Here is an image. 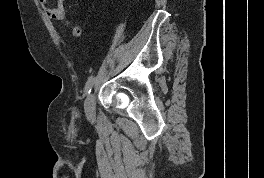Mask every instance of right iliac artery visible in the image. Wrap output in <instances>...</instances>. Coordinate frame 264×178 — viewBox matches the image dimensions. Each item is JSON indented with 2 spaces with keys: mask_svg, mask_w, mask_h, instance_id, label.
Wrapping results in <instances>:
<instances>
[{
  "mask_svg": "<svg viewBox=\"0 0 264 178\" xmlns=\"http://www.w3.org/2000/svg\"><path fill=\"white\" fill-rule=\"evenodd\" d=\"M94 78L90 77L85 85V94H90L92 86H93Z\"/></svg>",
  "mask_w": 264,
  "mask_h": 178,
  "instance_id": "right-iliac-artery-1",
  "label": "right iliac artery"
}]
</instances>
